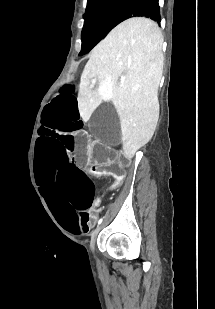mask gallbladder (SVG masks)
Wrapping results in <instances>:
<instances>
[{
  "label": "gallbladder",
  "mask_w": 215,
  "mask_h": 309,
  "mask_svg": "<svg viewBox=\"0 0 215 309\" xmlns=\"http://www.w3.org/2000/svg\"><path fill=\"white\" fill-rule=\"evenodd\" d=\"M97 108L92 113L89 130L102 144H107L108 148H117L121 144V127L115 108L112 103H99Z\"/></svg>",
  "instance_id": "bac80fb5"
}]
</instances>
